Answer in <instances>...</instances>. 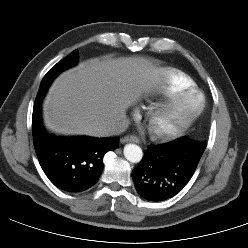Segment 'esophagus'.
Masks as SVG:
<instances>
[{"label": "esophagus", "mask_w": 248, "mask_h": 248, "mask_svg": "<svg viewBox=\"0 0 248 248\" xmlns=\"http://www.w3.org/2000/svg\"><path fill=\"white\" fill-rule=\"evenodd\" d=\"M121 143H127V142H132V143H139L140 139L135 136V135H127L120 140Z\"/></svg>", "instance_id": "obj_1"}]
</instances>
